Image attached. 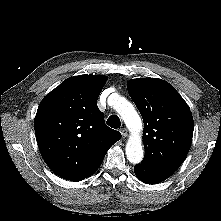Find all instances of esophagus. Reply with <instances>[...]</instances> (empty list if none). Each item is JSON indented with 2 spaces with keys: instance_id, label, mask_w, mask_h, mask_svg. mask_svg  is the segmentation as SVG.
<instances>
[{
  "instance_id": "esophagus-1",
  "label": "esophagus",
  "mask_w": 221,
  "mask_h": 221,
  "mask_svg": "<svg viewBox=\"0 0 221 221\" xmlns=\"http://www.w3.org/2000/svg\"><path fill=\"white\" fill-rule=\"evenodd\" d=\"M120 133L123 138H126L128 136V130L126 128H121Z\"/></svg>"
}]
</instances>
